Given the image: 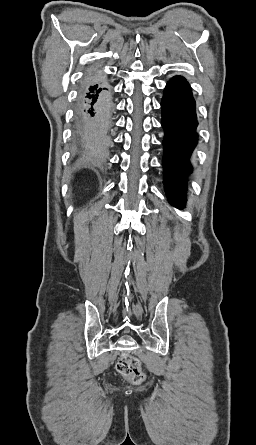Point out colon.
Instances as JSON below:
<instances>
[{"mask_svg":"<svg viewBox=\"0 0 256 445\" xmlns=\"http://www.w3.org/2000/svg\"><path fill=\"white\" fill-rule=\"evenodd\" d=\"M116 370L135 384H140L144 380L139 360L128 353L121 355L116 364Z\"/></svg>","mask_w":256,"mask_h":445,"instance_id":"5ec220e1","label":"colon"}]
</instances>
